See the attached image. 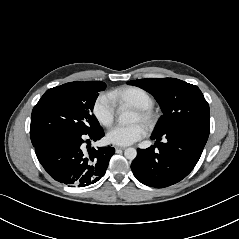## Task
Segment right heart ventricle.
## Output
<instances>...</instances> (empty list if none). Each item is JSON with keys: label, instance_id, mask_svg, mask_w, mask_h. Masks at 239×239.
<instances>
[{"label": "right heart ventricle", "instance_id": "right-heart-ventricle-1", "mask_svg": "<svg viewBox=\"0 0 239 239\" xmlns=\"http://www.w3.org/2000/svg\"><path fill=\"white\" fill-rule=\"evenodd\" d=\"M111 99L119 104H126L134 108H152L154 100L148 92L138 87H126L113 91Z\"/></svg>", "mask_w": 239, "mask_h": 239}]
</instances>
